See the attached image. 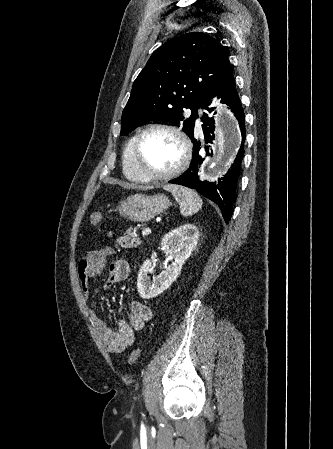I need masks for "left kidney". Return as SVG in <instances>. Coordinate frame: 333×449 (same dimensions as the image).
I'll use <instances>...</instances> for the list:
<instances>
[{
  "label": "left kidney",
  "mask_w": 333,
  "mask_h": 449,
  "mask_svg": "<svg viewBox=\"0 0 333 449\" xmlns=\"http://www.w3.org/2000/svg\"><path fill=\"white\" fill-rule=\"evenodd\" d=\"M199 240V230L194 224L180 226L164 236L161 241L164 252L172 256L174 261L165 270L150 278L154 272L155 264L146 260L141 266L137 278V287L140 296L149 299L168 289L180 275L185 261L196 249Z\"/></svg>",
  "instance_id": "obj_1"
}]
</instances>
